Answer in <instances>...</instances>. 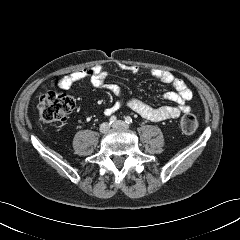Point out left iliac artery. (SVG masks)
I'll return each mask as SVG.
<instances>
[{
	"label": "left iliac artery",
	"mask_w": 240,
	"mask_h": 240,
	"mask_svg": "<svg viewBox=\"0 0 240 240\" xmlns=\"http://www.w3.org/2000/svg\"><path fill=\"white\" fill-rule=\"evenodd\" d=\"M125 122H126L127 124H131V123H132V118H131L130 116H127V117L125 118Z\"/></svg>",
	"instance_id": "1"
}]
</instances>
